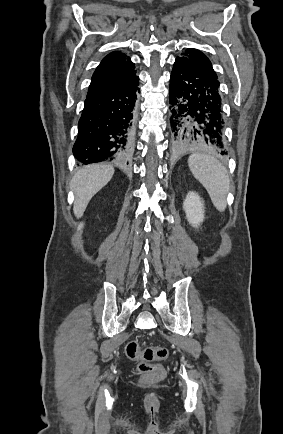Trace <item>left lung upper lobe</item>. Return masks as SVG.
Wrapping results in <instances>:
<instances>
[{
    "label": "left lung upper lobe",
    "instance_id": "5c2ea615",
    "mask_svg": "<svg viewBox=\"0 0 283 434\" xmlns=\"http://www.w3.org/2000/svg\"><path fill=\"white\" fill-rule=\"evenodd\" d=\"M178 58L186 60V61L190 62L191 64H193L194 66H196V67L206 71L207 73L217 77L208 57L197 49L188 48L185 51H183L182 56L178 57Z\"/></svg>",
    "mask_w": 283,
    "mask_h": 434
}]
</instances>
